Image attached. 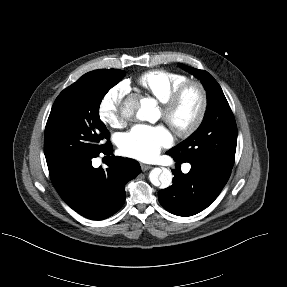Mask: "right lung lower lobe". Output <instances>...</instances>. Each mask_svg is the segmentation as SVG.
<instances>
[{
  "instance_id": "obj_1",
  "label": "right lung lower lobe",
  "mask_w": 287,
  "mask_h": 287,
  "mask_svg": "<svg viewBox=\"0 0 287 287\" xmlns=\"http://www.w3.org/2000/svg\"><path fill=\"white\" fill-rule=\"evenodd\" d=\"M112 152V145L108 143L100 152L49 168L61 198L88 219L102 220L116 213L125 202V184L141 172L136 160L114 155L106 170L93 168L92 158Z\"/></svg>"
}]
</instances>
